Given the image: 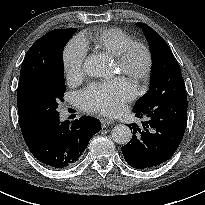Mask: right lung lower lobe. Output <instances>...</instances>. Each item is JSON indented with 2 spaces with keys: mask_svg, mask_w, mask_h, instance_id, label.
<instances>
[{
  "mask_svg": "<svg viewBox=\"0 0 205 205\" xmlns=\"http://www.w3.org/2000/svg\"><path fill=\"white\" fill-rule=\"evenodd\" d=\"M101 129L97 119L83 116L72 124L59 115L46 122L26 143L30 152L45 165L62 169L77 163L91 137Z\"/></svg>",
  "mask_w": 205,
  "mask_h": 205,
  "instance_id": "98d812e1",
  "label": "right lung lower lobe"
}]
</instances>
